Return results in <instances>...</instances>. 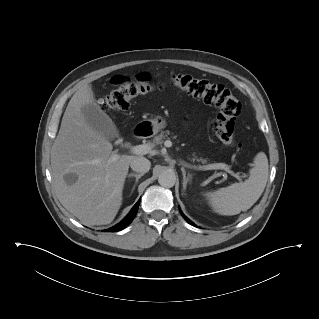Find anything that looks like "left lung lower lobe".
<instances>
[{
    "label": "left lung lower lobe",
    "instance_id": "1",
    "mask_svg": "<svg viewBox=\"0 0 319 319\" xmlns=\"http://www.w3.org/2000/svg\"><path fill=\"white\" fill-rule=\"evenodd\" d=\"M182 216L184 217V219L191 225L196 226L193 222H191L182 212H181Z\"/></svg>",
    "mask_w": 319,
    "mask_h": 319
}]
</instances>
